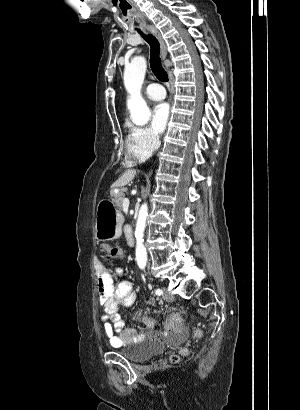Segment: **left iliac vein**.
<instances>
[{
  "label": "left iliac vein",
  "instance_id": "left-iliac-vein-1",
  "mask_svg": "<svg viewBox=\"0 0 300 410\" xmlns=\"http://www.w3.org/2000/svg\"><path fill=\"white\" fill-rule=\"evenodd\" d=\"M164 294H163V298L166 301H173L174 297L173 295L170 294V292L168 291L167 288H163Z\"/></svg>",
  "mask_w": 300,
  "mask_h": 410
}]
</instances>
